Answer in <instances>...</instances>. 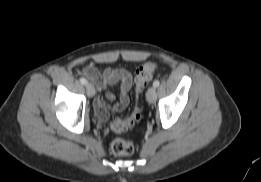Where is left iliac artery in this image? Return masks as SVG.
<instances>
[{
  "instance_id": "left-iliac-artery-1",
  "label": "left iliac artery",
  "mask_w": 261,
  "mask_h": 182,
  "mask_svg": "<svg viewBox=\"0 0 261 182\" xmlns=\"http://www.w3.org/2000/svg\"><path fill=\"white\" fill-rule=\"evenodd\" d=\"M159 85H160L159 80H155V81L153 82V86H154L155 88H157Z\"/></svg>"
}]
</instances>
